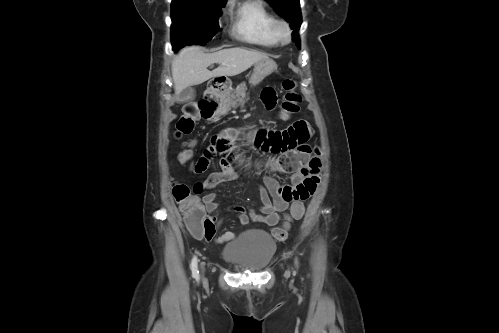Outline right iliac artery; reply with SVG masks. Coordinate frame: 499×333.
<instances>
[{
	"label": "right iliac artery",
	"instance_id": "obj_1",
	"mask_svg": "<svg viewBox=\"0 0 499 333\" xmlns=\"http://www.w3.org/2000/svg\"><path fill=\"white\" fill-rule=\"evenodd\" d=\"M191 270L193 278L199 279L198 259L196 256H194L191 261Z\"/></svg>",
	"mask_w": 499,
	"mask_h": 333
}]
</instances>
